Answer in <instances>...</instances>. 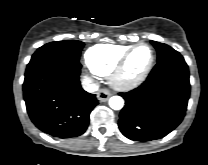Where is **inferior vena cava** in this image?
Listing matches in <instances>:
<instances>
[{
    "label": "inferior vena cava",
    "mask_w": 208,
    "mask_h": 165,
    "mask_svg": "<svg viewBox=\"0 0 208 165\" xmlns=\"http://www.w3.org/2000/svg\"><path fill=\"white\" fill-rule=\"evenodd\" d=\"M83 88L90 93H93L98 90L99 86L97 83H93L91 79L84 78L82 82Z\"/></svg>",
    "instance_id": "602c4592"
}]
</instances>
